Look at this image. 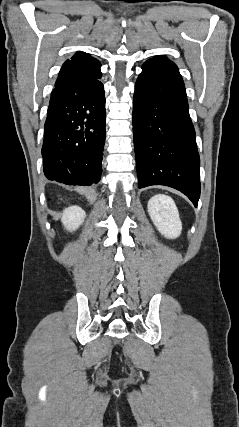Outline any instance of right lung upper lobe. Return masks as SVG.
I'll return each mask as SVG.
<instances>
[{
	"instance_id": "cb5924a9",
	"label": "right lung upper lobe",
	"mask_w": 239,
	"mask_h": 427,
	"mask_svg": "<svg viewBox=\"0 0 239 427\" xmlns=\"http://www.w3.org/2000/svg\"><path fill=\"white\" fill-rule=\"evenodd\" d=\"M100 66L101 64L96 58L85 52L78 51L70 60L65 61L55 85L69 79L81 78L100 72Z\"/></svg>"
}]
</instances>
